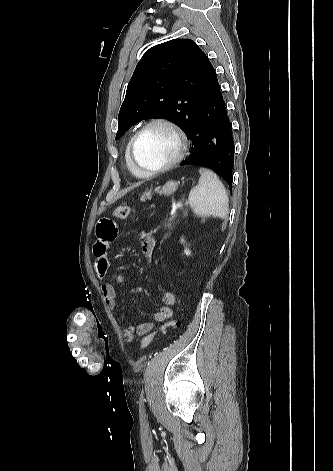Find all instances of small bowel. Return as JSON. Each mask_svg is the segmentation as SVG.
Returning a JSON list of instances; mask_svg holds the SVG:
<instances>
[{
    "label": "small bowel",
    "instance_id": "c3829d8e",
    "mask_svg": "<svg viewBox=\"0 0 333 471\" xmlns=\"http://www.w3.org/2000/svg\"><path fill=\"white\" fill-rule=\"evenodd\" d=\"M97 239L93 246V254L95 257V268L100 277H105L110 269V261L108 259V248L112 241L117 238L118 224L110 217H102L96 224ZM140 239L143 245L145 256L151 260L153 257L156 241L148 232H142ZM125 282L123 274H116L112 282H104L101 290L105 304L108 308L113 309L116 306V287L121 286ZM163 305L153 320L144 322L138 326H128L124 331V338L128 342H132L135 336H144L150 333L156 323L164 322L173 316V307L176 304V296L171 291H166L162 295Z\"/></svg>",
    "mask_w": 333,
    "mask_h": 471
}]
</instances>
